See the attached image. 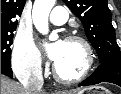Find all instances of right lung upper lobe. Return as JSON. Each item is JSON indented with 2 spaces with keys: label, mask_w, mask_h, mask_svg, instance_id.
<instances>
[{
  "label": "right lung upper lobe",
  "mask_w": 121,
  "mask_h": 94,
  "mask_svg": "<svg viewBox=\"0 0 121 94\" xmlns=\"http://www.w3.org/2000/svg\"><path fill=\"white\" fill-rule=\"evenodd\" d=\"M26 0H1V31L16 30L18 21L14 18L21 16Z\"/></svg>",
  "instance_id": "cb5924a9"
}]
</instances>
